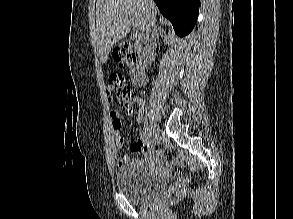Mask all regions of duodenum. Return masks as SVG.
Wrapping results in <instances>:
<instances>
[{
    "label": "duodenum",
    "instance_id": "1",
    "mask_svg": "<svg viewBox=\"0 0 293 219\" xmlns=\"http://www.w3.org/2000/svg\"><path fill=\"white\" fill-rule=\"evenodd\" d=\"M134 50L137 53L138 61H137V71L132 76V83L137 87H141L146 82L144 71L149 64L150 58L141 44L136 43L134 46Z\"/></svg>",
    "mask_w": 293,
    "mask_h": 219
}]
</instances>
